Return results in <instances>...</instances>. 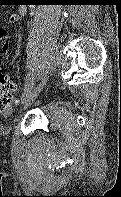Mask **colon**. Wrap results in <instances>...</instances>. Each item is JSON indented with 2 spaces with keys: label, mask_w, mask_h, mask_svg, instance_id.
Here are the masks:
<instances>
[{
  "label": "colon",
  "mask_w": 121,
  "mask_h": 197,
  "mask_svg": "<svg viewBox=\"0 0 121 197\" xmlns=\"http://www.w3.org/2000/svg\"><path fill=\"white\" fill-rule=\"evenodd\" d=\"M14 91L10 77L0 71V111H9L17 104Z\"/></svg>",
  "instance_id": "colon-1"
}]
</instances>
